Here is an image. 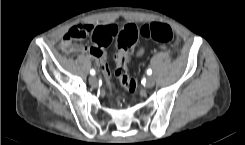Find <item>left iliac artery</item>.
<instances>
[{"label":"left iliac artery","mask_w":245,"mask_h":145,"mask_svg":"<svg viewBox=\"0 0 245 145\" xmlns=\"http://www.w3.org/2000/svg\"><path fill=\"white\" fill-rule=\"evenodd\" d=\"M147 74H148V75H151V74H152V70H151V69H148V70H147Z\"/></svg>","instance_id":"1"}]
</instances>
